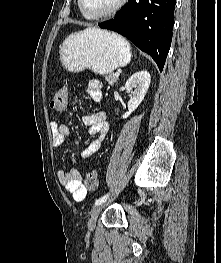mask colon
<instances>
[{"label":"colon","mask_w":221,"mask_h":263,"mask_svg":"<svg viewBox=\"0 0 221 263\" xmlns=\"http://www.w3.org/2000/svg\"><path fill=\"white\" fill-rule=\"evenodd\" d=\"M68 104V90L65 86L60 87L52 96L50 106L57 112L66 110ZM84 186L89 191H95L98 187V173L90 170L84 178Z\"/></svg>","instance_id":"1"}]
</instances>
